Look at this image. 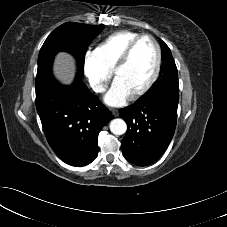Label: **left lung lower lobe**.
<instances>
[{
	"label": "left lung lower lobe",
	"mask_w": 227,
	"mask_h": 227,
	"mask_svg": "<svg viewBox=\"0 0 227 227\" xmlns=\"http://www.w3.org/2000/svg\"><path fill=\"white\" fill-rule=\"evenodd\" d=\"M179 97L158 93L120 110L127 123L122 140L124 157L138 166L156 162L175 132Z\"/></svg>",
	"instance_id": "left-lung-lower-lobe-1"
}]
</instances>
